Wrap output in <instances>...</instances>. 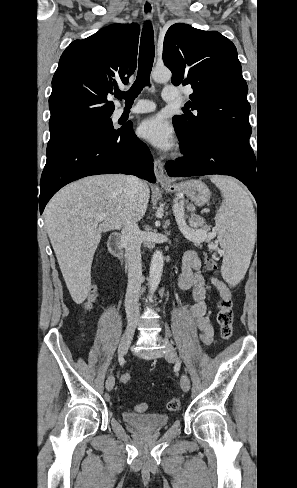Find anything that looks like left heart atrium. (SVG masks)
I'll list each match as a JSON object with an SVG mask.
<instances>
[{"mask_svg": "<svg viewBox=\"0 0 297 488\" xmlns=\"http://www.w3.org/2000/svg\"><path fill=\"white\" fill-rule=\"evenodd\" d=\"M139 135L157 148L167 151L175 143L174 131L170 123L161 115L144 120L138 129Z\"/></svg>", "mask_w": 297, "mask_h": 488, "instance_id": "1", "label": "left heart atrium"}]
</instances>
